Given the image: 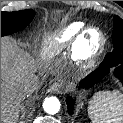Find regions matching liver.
Listing matches in <instances>:
<instances>
[{
	"label": "liver",
	"mask_w": 123,
	"mask_h": 123,
	"mask_svg": "<svg viewBox=\"0 0 123 123\" xmlns=\"http://www.w3.org/2000/svg\"><path fill=\"white\" fill-rule=\"evenodd\" d=\"M41 66L11 38L1 39V123H16L25 93L22 81Z\"/></svg>",
	"instance_id": "1"
}]
</instances>
